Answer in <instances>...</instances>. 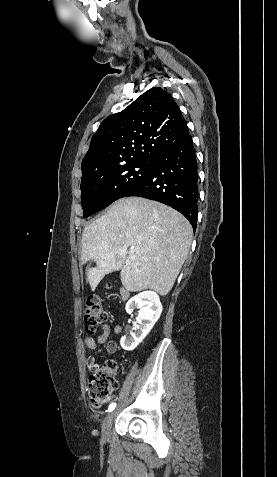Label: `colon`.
<instances>
[{
    "label": "colon",
    "instance_id": "colon-1",
    "mask_svg": "<svg viewBox=\"0 0 277 477\" xmlns=\"http://www.w3.org/2000/svg\"><path fill=\"white\" fill-rule=\"evenodd\" d=\"M107 320V311L103 307L98 296H89L84 311V321L87 332L92 334ZM91 373L88 378V398L90 403L99 408L106 404L113 391L117 389L116 364L107 361L104 365L97 364L90 367Z\"/></svg>",
    "mask_w": 277,
    "mask_h": 477
}]
</instances>
